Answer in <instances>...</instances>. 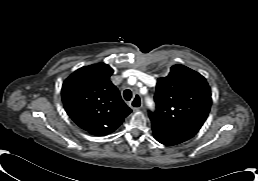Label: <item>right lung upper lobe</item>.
<instances>
[{
  "instance_id": "right-lung-upper-lobe-1",
  "label": "right lung upper lobe",
  "mask_w": 258,
  "mask_h": 181,
  "mask_svg": "<svg viewBox=\"0 0 258 181\" xmlns=\"http://www.w3.org/2000/svg\"><path fill=\"white\" fill-rule=\"evenodd\" d=\"M112 74L109 65L93 64L76 70L62 86V101L67 114L93 135L113 132L131 113L110 81Z\"/></svg>"
}]
</instances>
